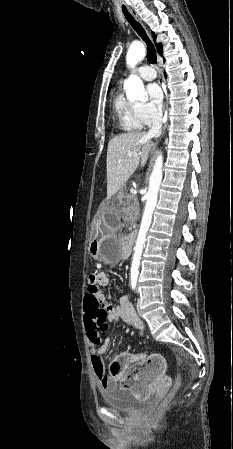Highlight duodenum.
Masks as SVG:
<instances>
[{
	"mask_svg": "<svg viewBox=\"0 0 233 449\" xmlns=\"http://www.w3.org/2000/svg\"><path fill=\"white\" fill-rule=\"evenodd\" d=\"M135 237H136V233L133 232L130 235H128L127 237H125V239L123 241L124 250L127 254H129L134 247Z\"/></svg>",
	"mask_w": 233,
	"mask_h": 449,
	"instance_id": "410a0bca",
	"label": "duodenum"
}]
</instances>
